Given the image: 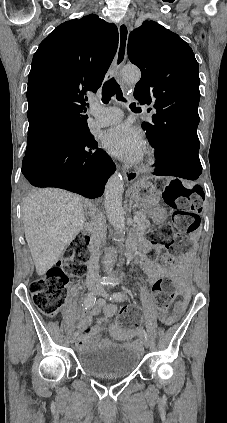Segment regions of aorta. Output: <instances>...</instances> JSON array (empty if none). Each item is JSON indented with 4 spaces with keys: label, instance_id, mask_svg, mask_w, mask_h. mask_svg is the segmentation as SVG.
I'll return each mask as SVG.
<instances>
[{
    "label": "aorta",
    "instance_id": "obj_1",
    "mask_svg": "<svg viewBox=\"0 0 227 423\" xmlns=\"http://www.w3.org/2000/svg\"><path fill=\"white\" fill-rule=\"evenodd\" d=\"M141 73L137 67L126 66L122 70V78L126 82L136 83L140 80ZM122 176L114 173L108 180L105 189V209L108 220L113 226L116 234L125 233V217L122 208V194L124 191ZM114 264V258L111 252H107L103 258V266L106 272H111Z\"/></svg>",
    "mask_w": 227,
    "mask_h": 423
}]
</instances>
